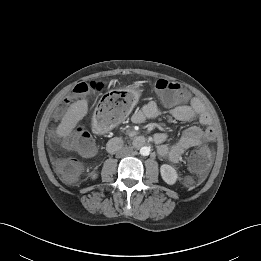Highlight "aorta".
I'll use <instances>...</instances> for the list:
<instances>
[{"mask_svg":"<svg viewBox=\"0 0 261 261\" xmlns=\"http://www.w3.org/2000/svg\"><path fill=\"white\" fill-rule=\"evenodd\" d=\"M150 153V148L147 146L141 147L140 148V154L143 156H147Z\"/></svg>","mask_w":261,"mask_h":261,"instance_id":"aorta-1","label":"aorta"}]
</instances>
